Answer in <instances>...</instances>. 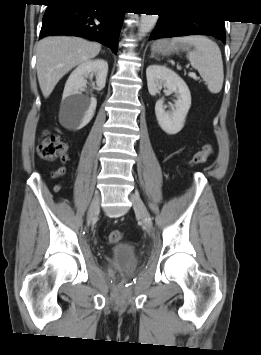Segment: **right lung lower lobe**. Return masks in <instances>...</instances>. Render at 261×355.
<instances>
[{
    "label": "right lung lower lobe",
    "mask_w": 261,
    "mask_h": 355,
    "mask_svg": "<svg viewBox=\"0 0 261 355\" xmlns=\"http://www.w3.org/2000/svg\"><path fill=\"white\" fill-rule=\"evenodd\" d=\"M47 5L40 38L52 35L92 38L117 53L123 11L97 0H48Z\"/></svg>",
    "instance_id": "98d812e1"
}]
</instances>
